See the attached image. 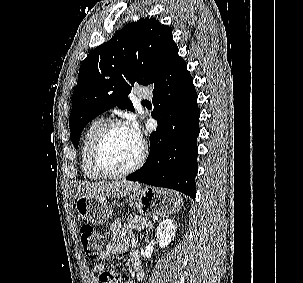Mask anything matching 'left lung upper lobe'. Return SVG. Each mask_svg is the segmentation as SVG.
<instances>
[{"label": "left lung upper lobe", "mask_w": 303, "mask_h": 283, "mask_svg": "<svg viewBox=\"0 0 303 283\" xmlns=\"http://www.w3.org/2000/svg\"><path fill=\"white\" fill-rule=\"evenodd\" d=\"M171 29L155 18L129 23L82 62L72 95L71 140L78 147L83 128L118 106L133 111L128 94L135 83L154 84L178 57Z\"/></svg>", "instance_id": "left-lung-upper-lobe-1"}]
</instances>
